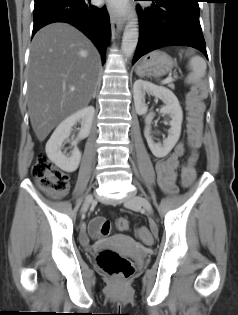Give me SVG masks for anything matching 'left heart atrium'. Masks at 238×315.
<instances>
[{
	"mask_svg": "<svg viewBox=\"0 0 238 315\" xmlns=\"http://www.w3.org/2000/svg\"><path fill=\"white\" fill-rule=\"evenodd\" d=\"M126 0H107L108 4L116 9V10H123L125 8V2Z\"/></svg>",
	"mask_w": 238,
	"mask_h": 315,
	"instance_id": "1",
	"label": "left heart atrium"
}]
</instances>
